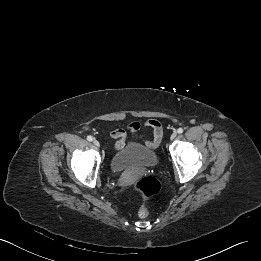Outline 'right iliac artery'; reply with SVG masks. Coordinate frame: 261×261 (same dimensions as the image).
Returning a JSON list of instances; mask_svg holds the SVG:
<instances>
[{"label": "right iliac artery", "mask_w": 261, "mask_h": 261, "mask_svg": "<svg viewBox=\"0 0 261 261\" xmlns=\"http://www.w3.org/2000/svg\"><path fill=\"white\" fill-rule=\"evenodd\" d=\"M87 140H88V141H92V140H93V137H92V136H87Z\"/></svg>", "instance_id": "right-iliac-artery-1"}]
</instances>
